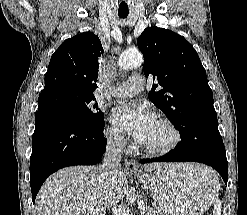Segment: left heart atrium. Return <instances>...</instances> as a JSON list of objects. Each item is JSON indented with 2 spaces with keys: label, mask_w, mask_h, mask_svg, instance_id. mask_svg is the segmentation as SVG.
I'll list each match as a JSON object with an SVG mask.
<instances>
[{
  "label": "left heart atrium",
  "mask_w": 247,
  "mask_h": 215,
  "mask_svg": "<svg viewBox=\"0 0 247 215\" xmlns=\"http://www.w3.org/2000/svg\"><path fill=\"white\" fill-rule=\"evenodd\" d=\"M111 122L121 132L133 136L142 143L157 122L156 116L143 106L124 103L114 108Z\"/></svg>",
  "instance_id": "obj_1"
}]
</instances>
